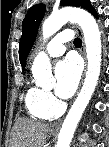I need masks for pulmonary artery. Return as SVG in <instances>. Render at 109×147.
I'll return each mask as SVG.
<instances>
[{
  "instance_id": "obj_1",
  "label": "pulmonary artery",
  "mask_w": 109,
  "mask_h": 147,
  "mask_svg": "<svg viewBox=\"0 0 109 147\" xmlns=\"http://www.w3.org/2000/svg\"><path fill=\"white\" fill-rule=\"evenodd\" d=\"M73 32H64L55 35L46 47V54L49 57H59L64 54V43L71 41L74 38Z\"/></svg>"
}]
</instances>
